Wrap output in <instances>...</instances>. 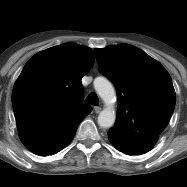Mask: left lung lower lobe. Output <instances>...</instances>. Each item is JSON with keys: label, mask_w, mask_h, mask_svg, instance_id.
Instances as JSON below:
<instances>
[{"label": "left lung lower lobe", "mask_w": 187, "mask_h": 187, "mask_svg": "<svg viewBox=\"0 0 187 187\" xmlns=\"http://www.w3.org/2000/svg\"><path fill=\"white\" fill-rule=\"evenodd\" d=\"M108 138L117 150L128 155L146 153L153 148L158 140V137L114 129H109ZM139 138L143 139L142 142L137 141Z\"/></svg>", "instance_id": "1"}]
</instances>
